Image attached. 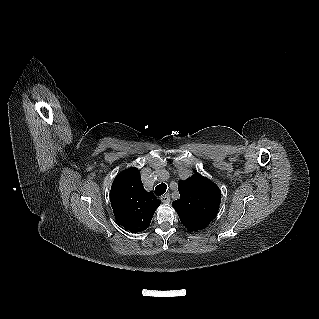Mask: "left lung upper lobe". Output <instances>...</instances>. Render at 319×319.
Listing matches in <instances>:
<instances>
[{
  "label": "left lung upper lobe",
  "instance_id": "obj_1",
  "mask_svg": "<svg viewBox=\"0 0 319 319\" xmlns=\"http://www.w3.org/2000/svg\"><path fill=\"white\" fill-rule=\"evenodd\" d=\"M180 199L173 202L181 223L190 231L206 228L215 218L221 202L219 187L209 179L195 173L179 181Z\"/></svg>",
  "mask_w": 319,
  "mask_h": 319
}]
</instances>
